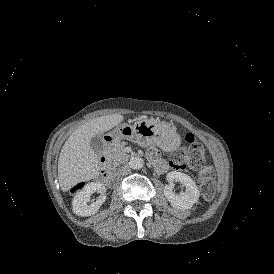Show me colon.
<instances>
[{
    "instance_id": "obj_1",
    "label": "colon",
    "mask_w": 274,
    "mask_h": 274,
    "mask_svg": "<svg viewBox=\"0 0 274 274\" xmlns=\"http://www.w3.org/2000/svg\"><path fill=\"white\" fill-rule=\"evenodd\" d=\"M171 160L175 169L190 167L199 170L201 193L204 199L211 200L216 192L215 175L213 168L205 163V149L202 143L197 141L187 142L183 148L171 154ZM74 189H85V180H74Z\"/></svg>"
}]
</instances>
